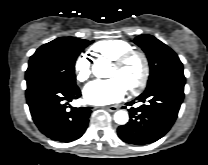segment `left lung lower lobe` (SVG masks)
<instances>
[{
    "mask_svg": "<svg viewBox=\"0 0 208 165\" xmlns=\"http://www.w3.org/2000/svg\"><path fill=\"white\" fill-rule=\"evenodd\" d=\"M184 85L185 77H171L146 89L136 98L143 105L130 108L129 122L118 127L119 137L136 145L149 144L163 137L177 118L184 98Z\"/></svg>",
    "mask_w": 208,
    "mask_h": 165,
    "instance_id": "left-lung-lower-lobe-1",
    "label": "left lung lower lobe"
}]
</instances>
